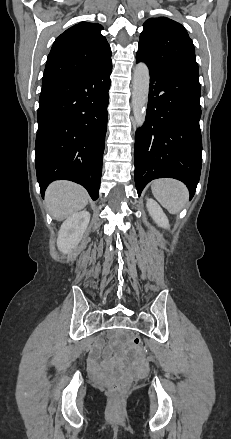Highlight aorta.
<instances>
[{
  "mask_svg": "<svg viewBox=\"0 0 231 439\" xmlns=\"http://www.w3.org/2000/svg\"><path fill=\"white\" fill-rule=\"evenodd\" d=\"M150 75L147 65L138 63L133 73L132 107L135 123L141 127L146 118Z\"/></svg>",
  "mask_w": 231,
  "mask_h": 439,
  "instance_id": "1",
  "label": "aorta"
}]
</instances>
